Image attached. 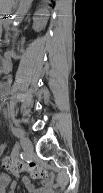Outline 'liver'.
<instances>
[{
  "label": "liver",
  "instance_id": "1",
  "mask_svg": "<svg viewBox=\"0 0 103 193\" xmlns=\"http://www.w3.org/2000/svg\"><path fill=\"white\" fill-rule=\"evenodd\" d=\"M8 3V0H1L0 1V10H1V13L3 14H6L9 10H10V6L7 4ZM5 6H8L7 8Z\"/></svg>",
  "mask_w": 103,
  "mask_h": 193
}]
</instances>
